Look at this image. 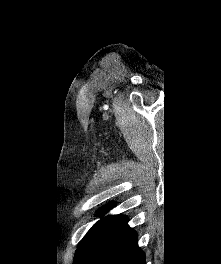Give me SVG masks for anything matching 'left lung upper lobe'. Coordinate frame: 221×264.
Here are the masks:
<instances>
[{"label":"left lung upper lobe","instance_id":"obj_1","mask_svg":"<svg viewBox=\"0 0 221 264\" xmlns=\"http://www.w3.org/2000/svg\"><path fill=\"white\" fill-rule=\"evenodd\" d=\"M110 209V206H105L104 208H102L101 210L98 211V215H103L105 212H107ZM88 234V233H87Z\"/></svg>","mask_w":221,"mask_h":264}]
</instances>
